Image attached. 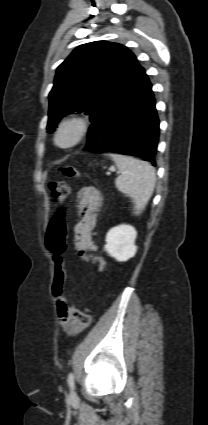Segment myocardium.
Returning a JSON list of instances; mask_svg holds the SVG:
<instances>
[{
    "label": "myocardium",
    "mask_w": 208,
    "mask_h": 425,
    "mask_svg": "<svg viewBox=\"0 0 208 425\" xmlns=\"http://www.w3.org/2000/svg\"><path fill=\"white\" fill-rule=\"evenodd\" d=\"M89 131L90 123L87 118L80 115L68 116L58 124L54 144L62 149L75 147L86 139Z\"/></svg>",
    "instance_id": "myocardium-1"
}]
</instances>
